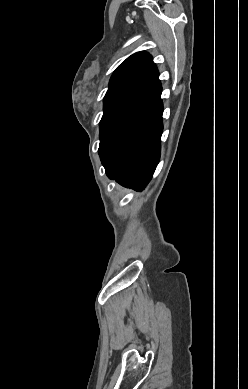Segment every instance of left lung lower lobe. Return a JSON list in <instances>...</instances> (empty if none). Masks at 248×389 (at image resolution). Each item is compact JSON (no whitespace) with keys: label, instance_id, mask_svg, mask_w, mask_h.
Segmentation results:
<instances>
[{"label":"left lung lower lobe","instance_id":"0a47b994","mask_svg":"<svg viewBox=\"0 0 248 389\" xmlns=\"http://www.w3.org/2000/svg\"><path fill=\"white\" fill-rule=\"evenodd\" d=\"M161 82L152 65L105 107L99 155L107 176L142 191L160 159L163 131Z\"/></svg>","mask_w":248,"mask_h":389}]
</instances>
